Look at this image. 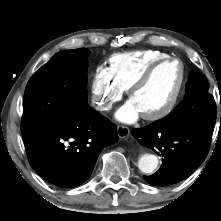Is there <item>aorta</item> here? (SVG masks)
Listing matches in <instances>:
<instances>
[{
    "label": "aorta",
    "mask_w": 221,
    "mask_h": 221,
    "mask_svg": "<svg viewBox=\"0 0 221 221\" xmlns=\"http://www.w3.org/2000/svg\"><path fill=\"white\" fill-rule=\"evenodd\" d=\"M158 166V158L154 154H143L138 161V167L143 173H152Z\"/></svg>",
    "instance_id": "aorta-1"
}]
</instances>
